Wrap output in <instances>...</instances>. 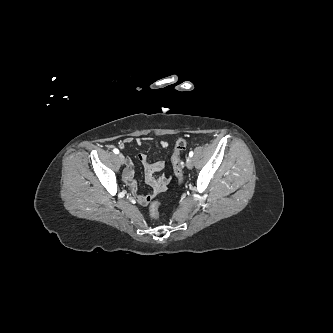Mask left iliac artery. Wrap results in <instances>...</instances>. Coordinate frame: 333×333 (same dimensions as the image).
<instances>
[{"mask_svg": "<svg viewBox=\"0 0 333 333\" xmlns=\"http://www.w3.org/2000/svg\"><path fill=\"white\" fill-rule=\"evenodd\" d=\"M193 154H194L193 151H190V152H189V156H190V157H192Z\"/></svg>", "mask_w": 333, "mask_h": 333, "instance_id": "obj_1", "label": "left iliac artery"}]
</instances>
